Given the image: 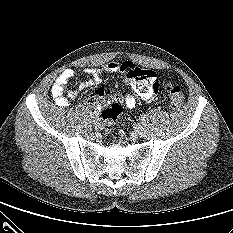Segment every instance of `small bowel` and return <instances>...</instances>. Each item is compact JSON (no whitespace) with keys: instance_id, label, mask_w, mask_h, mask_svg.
I'll return each instance as SVG.
<instances>
[{"instance_id":"small-bowel-1","label":"small bowel","mask_w":233,"mask_h":233,"mask_svg":"<svg viewBox=\"0 0 233 233\" xmlns=\"http://www.w3.org/2000/svg\"><path fill=\"white\" fill-rule=\"evenodd\" d=\"M134 66L137 65L130 61H114L99 68L86 69L85 72L90 75V79L81 82L79 90L98 84L101 81L103 74L119 73L124 76L125 81L134 91L133 95H127L121 99L126 107L134 108L138 100L149 101L155 99L159 86L155 73L149 70L152 73V77L149 82H134L128 77L129 70ZM74 75L75 72L73 70L65 69L60 73L52 85V97L60 107L68 106L69 98H73L78 94V90L67 89V83L74 77ZM111 93H115V90L110 92V94ZM108 94L109 93L104 89L98 88L92 95L86 98L85 103L88 106H93L99 110L106 103V96Z\"/></svg>"}]
</instances>
